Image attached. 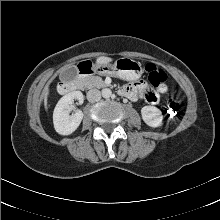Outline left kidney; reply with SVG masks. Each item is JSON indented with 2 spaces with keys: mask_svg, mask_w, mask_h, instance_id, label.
I'll use <instances>...</instances> for the list:
<instances>
[{
  "mask_svg": "<svg viewBox=\"0 0 220 220\" xmlns=\"http://www.w3.org/2000/svg\"><path fill=\"white\" fill-rule=\"evenodd\" d=\"M143 121L150 127H160L163 122V116L160 109L155 106H144L141 109Z\"/></svg>",
  "mask_w": 220,
  "mask_h": 220,
  "instance_id": "obj_1",
  "label": "left kidney"
}]
</instances>
